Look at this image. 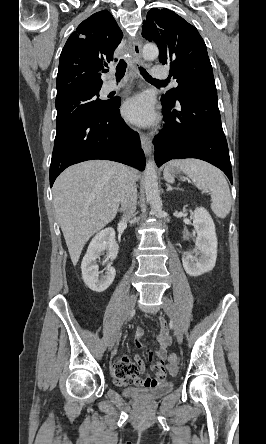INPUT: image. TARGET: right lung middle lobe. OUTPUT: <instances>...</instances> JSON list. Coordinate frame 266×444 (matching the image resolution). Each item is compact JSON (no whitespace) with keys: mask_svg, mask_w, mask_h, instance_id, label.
<instances>
[{"mask_svg":"<svg viewBox=\"0 0 266 444\" xmlns=\"http://www.w3.org/2000/svg\"><path fill=\"white\" fill-rule=\"evenodd\" d=\"M111 104V101L99 99V90L77 91L57 97V132L74 122L91 119L106 112Z\"/></svg>","mask_w":266,"mask_h":444,"instance_id":"obj_1","label":"right lung middle lobe"}]
</instances>
